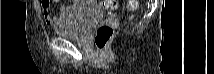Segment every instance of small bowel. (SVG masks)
Masks as SVG:
<instances>
[{"instance_id": "c3829d8e", "label": "small bowel", "mask_w": 214, "mask_h": 74, "mask_svg": "<svg viewBox=\"0 0 214 74\" xmlns=\"http://www.w3.org/2000/svg\"><path fill=\"white\" fill-rule=\"evenodd\" d=\"M40 3L45 23L48 26H55L59 21L60 17L51 13V6L53 4V1L42 0ZM60 10L62 13H64L67 10V8L61 7Z\"/></svg>"}]
</instances>
